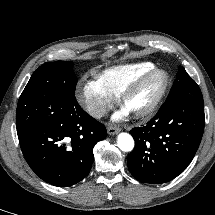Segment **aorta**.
Wrapping results in <instances>:
<instances>
[{"label": "aorta", "instance_id": "1", "mask_svg": "<svg viewBox=\"0 0 215 215\" xmlns=\"http://www.w3.org/2000/svg\"><path fill=\"white\" fill-rule=\"evenodd\" d=\"M118 147L125 152H129L134 148V140L128 133H120L117 138Z\"/></svg>", "mask_w": 215, "mask_h": 215}]
</instances>
